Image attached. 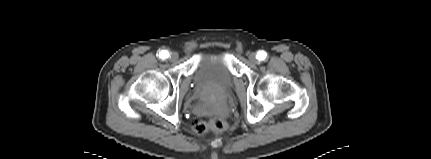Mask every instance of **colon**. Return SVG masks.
<instances>
[{
  "label": "colon",
  "instance_id": "obj_1",
  "mask_svg": "<svg viewBox=\"0 0 431 159\" xmlns=\"http://www.w3.org/2000/svg\"><path fill=\"white\" fill-rule=\"evenodd\" d=\"M192 128L197 134H205L208 131L221 133L226 129V123L218 116H213L208 122L202 119H195L192 123Z\"/></svg>",
  "mask_w": 431,
  "mask_h": 159
}]
</instances>
